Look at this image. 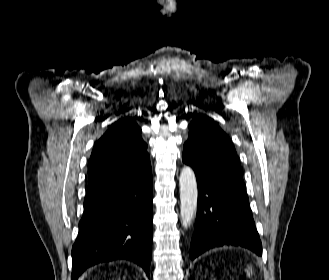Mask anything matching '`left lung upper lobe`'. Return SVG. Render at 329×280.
<instances>
[{
	"instance_id": "5c2ea615",
	"label": "left lung upper lobe",
	"mask_w": 329,
	"mask_h": 280,
	"mask_svg": "<svg viewBox=\"0 0 329 280\" xmlns=\"http://www.w3.org/2000/svg\"><path fill=\"white\" fill-rule=\"evenodd\" d=\"M190 134L184 144L182 159L206 185H222L225 173L238 169L239 158L229 137L209 117L196 115L189 124Z\"/></svg>"
}]
</instances>
